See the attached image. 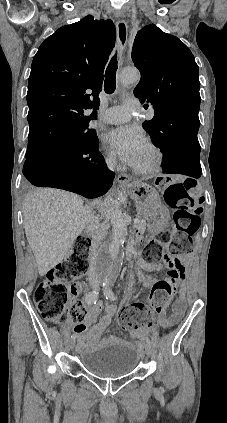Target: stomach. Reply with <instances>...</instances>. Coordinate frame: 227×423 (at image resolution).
Returning a JSON list of instances; mask_svg holds the SVG:
<instances>
[{
	"label": "stomach",
	"instance_id": "0dacf381",
	"mask_svg": "<svg viewBox=\"0 0 227 423\" xmlns=\"http://www.w3.org/2000/svg\"><path fill=\"white\" fill-rule=\"evenodd\" d=\"M122 182H124L123 186L126 188L129 196H131L132 200H135L139 213L146 217L159 198L157 190L153 186H150V184H145L142 180L140 182H133V184H129L128 180H122Z\"/></svg>",
	"mask_w": 227,
	"mask_h": 423
}]
</instances>
